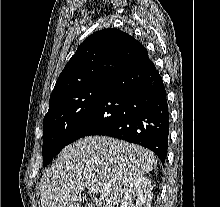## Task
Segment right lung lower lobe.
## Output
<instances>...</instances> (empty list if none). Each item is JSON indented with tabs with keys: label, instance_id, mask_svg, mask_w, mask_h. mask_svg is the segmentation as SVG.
<instances>
[{
	"label": "right lung lower lobe",
	"instance_id": "right-lung-lower-lobe-1",
	"mask_svg": "<svg viewBox=\"0 0 220 207\" xmlns=\"http://www.w3.org/2000/svg\"><path fill=\"white\" fill-rule=\"evenodd\" d=\"M90 135L139 144L165 162L169 135L166 91L148 56L107 81L98 103L73 132L70 143Z\"/></svg>",
	"mask_w": 220,
	"mask_h": 207
}]
</instances>
